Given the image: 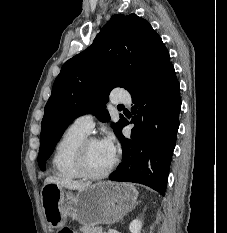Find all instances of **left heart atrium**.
Instances as JSON below:
<instances>
[{"instance_id":"1","label":"left heart atrium","mask_w":227,"mask_h":233,"mask_svg":"<svg viewBox=\"0 0 227 233\" xmlns=\"http://www.w3.org/2000/svg\"><path fill=\"white\" fill-rule=\"evenodd\" d=\"M102 145L109 151L111 155L116 153L115 137L111 133H107L105 137L100 141Z\"/></svg>"}]
</instances>
